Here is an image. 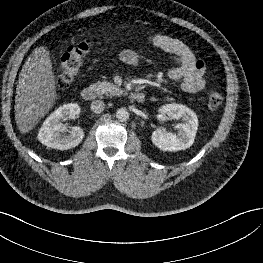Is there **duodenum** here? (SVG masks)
Returning a JSON list of instances; mask_svg holds the SVG:
<instances>
[{
  "label": "duodenum",
  "mask_w": 263,
  "mask_h": 263,
  "mask_svg": "<svg viewBox=\"0 0 263 263\" xmlns=\"http://www.w3.org/2000/svg\"><path fill=\"white\" fill-rule=\"evenodd\" d=\"M96 96H97L96 89L92 86H87L83 88L81 91V97L85 101H92L96 98ZM131 98L134 101L141 103L145 101L146 96L143 92L138 91V92L132 93Z\"/></svg>",
  "instance_id": "410a0bca"
}]
</instances>
